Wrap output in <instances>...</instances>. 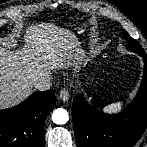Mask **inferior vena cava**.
<instances>
[{
	"label": "inferior vena cava",
	"instance_id": "obj_1",
	"mask_svg": "<svg viewBox=\"0 0 147 147\" xmlns=\"http://www.w3.org/2000/svg\"><path fill=\"white\" fill-rule=\"evenodd\" d=\"M33 85L36 89L43 91L50 89L52 83L49 77H41Z\"/></svg>",
	"mask_w": 147,
	"mask_h": 147
}]
</instances>
